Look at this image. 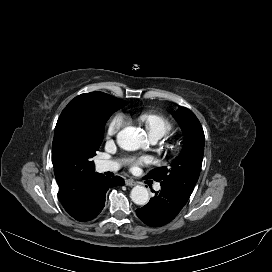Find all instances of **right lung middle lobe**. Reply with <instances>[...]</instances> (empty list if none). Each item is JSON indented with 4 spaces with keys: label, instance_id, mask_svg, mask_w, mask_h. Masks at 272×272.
Here are the masks:
<instances>
[{
    "label": "right lung middle lobe",
    "instance_id": "dd1d6c3e",
    "mask_svg": "<svg viewBox=\"0 0 272 272\" xmlns=\"http://www.w3.org/2000/svg\"><path fill=\"white\" fill-rule=\"evenodd\" d=\"M125 105V101L102 93L91 108L65 123L62 141L67 151L78 159L82 167L94 168L91 158L102 143L105 123L112 113Z\"/></svg>",
    "mask_w": 272,
    "mask_h": 272
}]
</instances>
